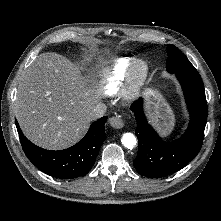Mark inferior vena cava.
Masks as SVG:
<instances>
[{"mask_svg":"<svg viewBox=\"0 0 221 221\" xmlns=\"http://www.w3.org/2000/svg\"><path fill=\"white\" fill-rule=\"evenodd\" d=\"M106 110L107 106L104 103H99L98 105L95 106L91 115L93 119H99L104 116Z\"/></svg>","mask_w":221,"mask_h":221,"instance_id":"inferior-vena-cava-1","label":"inferior vena cava"}]
</instances>
